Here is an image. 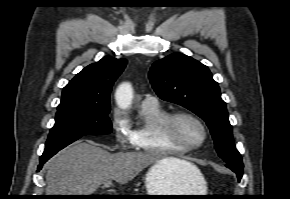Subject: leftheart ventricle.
Here are the masks:
<instances>
[{"label":"left heart ventricle","mask_w":290,"mask_h":199,"mask_svg":"<svg viewBox=\"0 0 290 199\" xmlns=\"http://www.w3.org/2000/svg\"><path fill=\"white\" fill-rule=\"evenodd\" d=\"M173 132L180 140L190 145L199 143L203 137L200 126L187 118L177 120L174 124ZM162 138L166 139L164 136Z\"/></svg>","instance_id":"1"}]
</instances>
